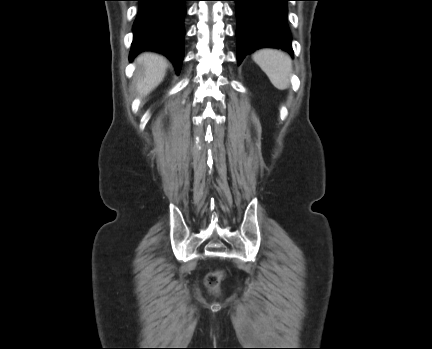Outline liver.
<instances>
[{"instance_id": "obj_1", "label": "liver", "mask_w": 432, "mask_h": 349, "mask_svg": "<svg viewBox=\"0 0 432 349\" xmlns=\"http://www.w3.org/2000/svg\"><path fill=\"white\" fill-rule=\"evenodd\" d=\"M135 80L137 90L146 95L155 89L163 80L167 60L156 53L146 52L136 58Z\"/></svg>"}]
</instances>
